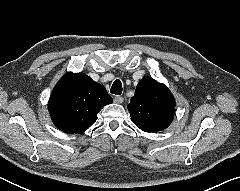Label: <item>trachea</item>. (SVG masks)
Listing matches in <instances>:
<instances>
[{"label": "trachea", "instance_id": "trachea-1", "mask_svg": "<svg viewBox=\"0 0 240 191\" xmlns=\"http://www.w3.org/2000/svg\"><path fill=\"white\" fill-rule=\"evenodd\" d=\"M110 92L115 95H120L122 93V83L120 80H115L112 84Z\"/></svg>", "mask_w": 240, "mask_h": 191}]
</instances>
